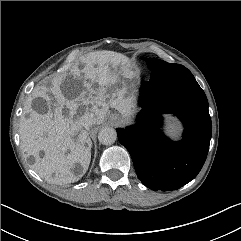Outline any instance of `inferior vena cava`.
<instances>
[{"mask_svg":"<svg viewBox=\"0 0 241 241\" xmlns=\"http://www.w3.org/2000/svg\"><path fill=\"white\" fill-rule=\"evenodd\" d=\"M95 123H96V118L94 114L91 112L84 113V115L79 119V124L87 130Z\"/></svg>","mask_w":241,"mask_h":241,"instance_id":"inferior-vena-cava-1","label":"inferior vena cava"}]
</instances>
